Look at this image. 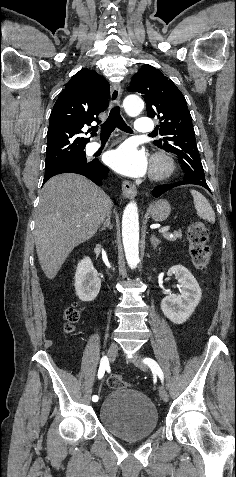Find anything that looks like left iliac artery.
I'll return each instance as SVG.
<instances>
[{"label": "left iliac artery", "mask_w": 236, "mask_h": 477, "mask_svg": "<svg viewBox=\"0 0 236 477\" xmlns=\"http://www.w3.org/2000/svg\"><path fill=\"white\" fill-rule=\"evenodd\" d=\"M143 362L145 364H147L149 366V368L151 369V371L153 373H156L159 376V378L161 379V381L163 382V380H164L163 371L161 370L158 363L152 358H145V359H143Z\"/></svg>", "instance_id": "1"}]
</instances>
